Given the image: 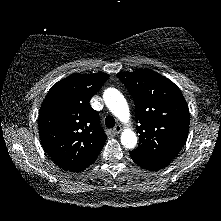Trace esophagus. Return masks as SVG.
<instances>
[{
	"mask_svg": "<svg viewBox=\"0 0 221 221\" xmlns=\"http://www.w3.org/2000/svg\"><path fill=\"white\" fill-rule=\"evenodd\" d=\"M113 131L115 134H119L122 131V126L120 124L116 125Z\"/></svg>",
	"mask_w": 221,
	"mask_h": 221,
	"instance_id": "esophagus-1",
	"label": "esophagus"
}]
</instances>
